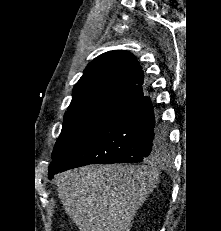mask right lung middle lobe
I'll use <instances>...</instances> for the list:
<instances>
[{
	"mask_svg": "<svg viewBox=\"0 0 221 231\" xmlns=\"http://www.w3.org/2000/svg\"><path fill=\"white\" fill-rule=\"evenodd\" d=\"M130 102L124 98L104 96L70 105L52 153L49 172L64 165L115 113Z\"/></svg>",
	"mask_w": 221,
	"mask_h": 231,
	"instance_id": "1",
	"label": "right lung middle lobe"
}]
</instances>
